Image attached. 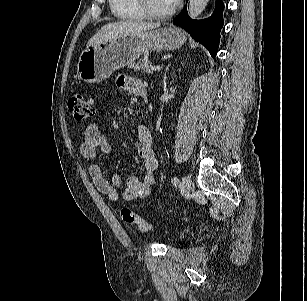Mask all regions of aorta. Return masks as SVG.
<instances>
[{
  "instance_id": "obj_1",
  "label": "aorta",
  "mask_w": 307,
  "mask_h": 301,
  "mask_svg": "<svg viewBox=\"0 0 307 301\" xmlns=\"http://www.w3.org/2000/svg\"><path fill=\"white\" fill-rule=\"evenodd\" d=\"M208 0H189L188 13L191 18H197L205 9Z\"/></svg>"
}]
</instances>
